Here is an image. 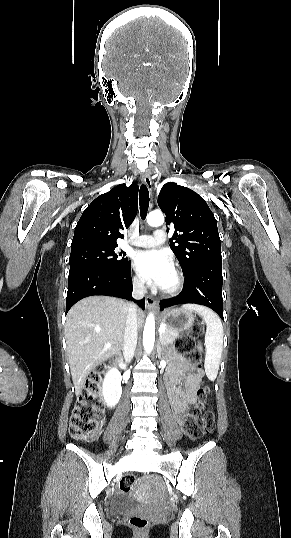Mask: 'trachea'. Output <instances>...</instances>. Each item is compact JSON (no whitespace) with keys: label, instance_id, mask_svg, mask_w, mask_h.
Segmentation results:
<instances>
[{"label":"trachea","instance_id":"1","mask_svg":"<svg viewBox=\"0 0 291 538\" xmlns=\"http://www.w3.org/2000/svg\"><path fill=\"white\" fill-rule=\"evenodd\" d=\"M140 215L145 219L149 207V192L146 185L142 184L139 192Z\"/></svg>","mask_w":291,"mask_h":538}]
</instances>
